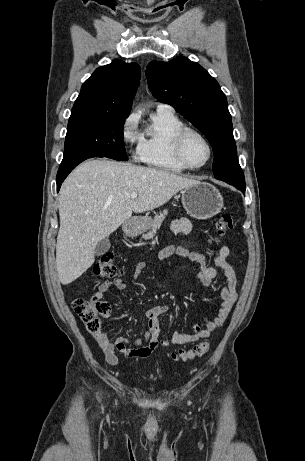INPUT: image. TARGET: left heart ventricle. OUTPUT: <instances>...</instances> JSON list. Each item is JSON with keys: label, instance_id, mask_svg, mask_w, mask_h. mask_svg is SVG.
I'll list each match as a JSON object with an SVG mask.
<instances>
[{"label": "left heart ventricle", "instance_id": "b2bd125f", "mask_svg": "<svg viewBox=\"0 0 305 461\" xmlns=\"http://www.w3.org/2000/svg\"><path fill=\"white\" fill-rule=\"evenodd\" d=\"M183 154L189 164L197 166L206 160L208 151L199 137L190 134L184 140Z\"/></svg>", "mask_w": 305, "mask_h": 461}]
</instances>
